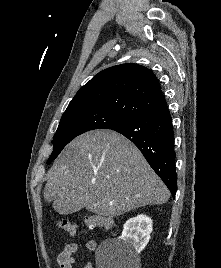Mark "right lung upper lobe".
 I'll return each mask as SVG.
<instances>
[{
	"label": "right lung upper lobe",
	"mask_w": 221,
	"mask_h": 268,
	"mask_svg": "<svg viewBox=\"0 0 221 268\" xmlns=\"http://www.w3.org/2000/svg\"><path fill=\"white\" fill-rule=\"evenodd\" d=\"M165 107L153 72L138 64H122L95 75L78 90L64 113L104 109L131 120Z\"/></svg>",
	"instance_id": "obj_1"
}]
</instances>
